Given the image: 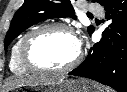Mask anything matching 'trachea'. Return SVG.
<instances>
[{"instance_id":"obj_1","label":"trachea","mask_w":127,"mask_h":92,"mask_svg":"<svg viewBox=\"0 0 127 92\" xmlns=\"http://www.w3.org/2000/svg\"><path fill=\"white\" fill-rule=\"evenodd\" d=\"M88 16H93V15L89 13Z\"/></svg>"}]
</instances>
